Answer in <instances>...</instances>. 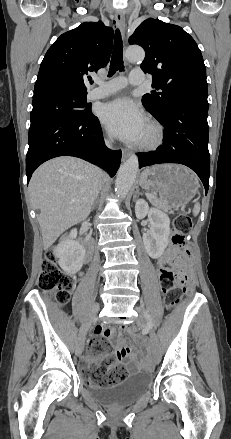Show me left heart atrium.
Segmentation results:
<instances>
[{
	"mask_svg": "<svg viewBox=\"0 0 231 439\" xmlns=\"http://www.w3.org/2000/svg\"><path fill=\"white\" fill-rule=\"evenodd\" d=\"M101 120L112 135L131 143L141 141L148 127L142 110L126 97L105 104L101 111Z\"/></svg>",
	"mask_w": 231,
	"mask_h": 439,
	"instance_id": "left-heart-atrium-1",
	"label": "left heart atrium"
}]
</instances>
